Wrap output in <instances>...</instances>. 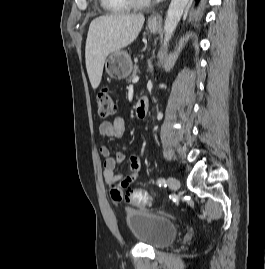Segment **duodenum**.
<instances>
[{
	"label": "duodenum",
	"mask_w": 265,
	"mask_h": 269,
	"mask_svg": "<svg viewBox=\"0 0 265 269\" xmlns=\"http://www.w3.org/2000/svg\"><path fill=\"white\" fill-rule=\"evenodd\" d=\"M149 110V101L146 97H141L138 99L136 104V116L138 118H143L146 116Z\"/></svg>",
	"instance_id": "obj_1"
}]
</instances>
